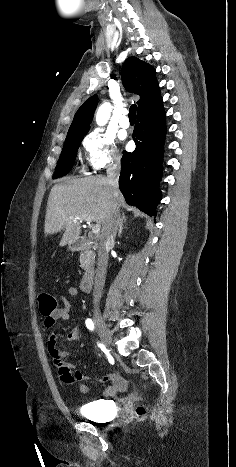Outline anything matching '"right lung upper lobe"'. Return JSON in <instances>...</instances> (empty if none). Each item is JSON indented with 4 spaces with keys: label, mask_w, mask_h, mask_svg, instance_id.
<instances>
[{
    "label": "right lung upper lobe",
    "mask_w": 236,
    "mask_h": 467,
    "mask_svg": "<svg viewBox=\"0 0 236 467\" xmlns=\"http://www.w3.org/2000/svg\"><path fill=\"white\" fill-rule=\"evenodd\" d=\"M121 78L123 85L129 92H134L140 96V100L137 102L138 112L153 105L161 98L155 70L144 61L133 56L129 57L123 64ZM96 106V95L85 101L76 112L67 135L87 133Z\"/></svg>",
    "instance_id": "right-lung-upper-lobe-1"
}]
</instances>
